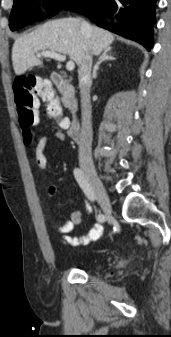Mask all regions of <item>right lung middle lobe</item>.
Returning <instances> with one entry per match:
<instances>
[{
  "label": "right lung middle lobe",
  "instance_id": "right-lung-middle-lobe-1",
  "mask_svg": "<svg viewBox=\"0 0 171 337\" xmlns=\"http://www.w3.org/2000/svg\"><path fill=\"white\" fill-rule=\"evenodd\" d=\"M75 0H44V6L49 9L48 17L55 15L59 10L63 9ZM38 6V2L34 0H14V5L9 18V27L12 31L20 29L36 20L32 14V6ZM39 14L37 19H43Z\"/></svg>",
  "mask_w": 171,
  "mask_h": 337
}]
</instances>
